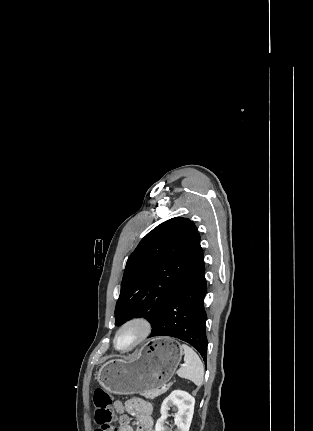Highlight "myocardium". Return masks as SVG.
<instances>
[{"label":"myocardium","mask_w":313,"mask_h":431,"mask_svg":"<svg viewBox=\"0 0 313 431\" xmlns=\"http://www.w3.org/2000/svg\"><path fill=\"white\" fill-rule=\"evenodd\" d=\"M131 325H137L141 328V334L139 338L131 346L127 348L118 347L117 339L119 334L123 329ZM152 332H153V323L147 316L137 315V316L131 317L127 319L125 322H123L121 326L117 329L113 339L114 347L116 350L121 352L131 351L137 348L138 346H140L141 344H143L151 336Z\"/></svg>","instance_id":"f54148a6"}]
</instances>
